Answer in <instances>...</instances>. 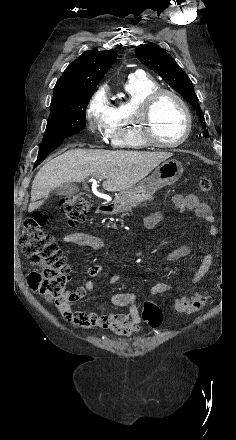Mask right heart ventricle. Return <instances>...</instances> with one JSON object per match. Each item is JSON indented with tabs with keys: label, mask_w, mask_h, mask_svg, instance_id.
I'll list each match as a JSON object with an SVG mask.
<instances>
[{
	"label": "right heart ventricle",
	"mask_w": 236,
	"mask_h": 440,
	"mask_svg": "<svg viewBox=\"0 0 236 440\" xmlns=\"http://www.w3.org/2000/svg\"><path fill=\"white\" fill-rule=\"evenodd\" d=\"M157 88L150 77L136 74L128 78L125 90L129 99L112 107L109 138L114 147L143 149L149 145L143 140L136 115L143 99Z\"/></svg>",
	"instance_id": "obj_1"
}]
</instances>
